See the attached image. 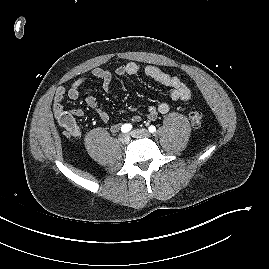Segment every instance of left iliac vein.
<instances>
[{"instance_id": "1", "label": "left iliac vein", "mask_w": 269, "mask_h": 269, "mask_svg": "<svg viewBox=\"0 0 269 269\" xmlns=\"http://www.w3.org/2000/svg\"><path fill=\"white\" fill-rule=\"evenodd\" d=\"M131 136L134 138H148L150 133L147 129H136L131 132Z\"/></svg>"}]
</instances>
